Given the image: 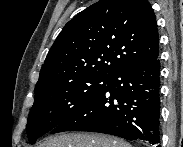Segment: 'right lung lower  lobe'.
Listing matches in <instances>:
<instances>
[{"mask_svg":"<svg viewBox=\"0 0 183 147\" xmlns=\"http://www.w3.org/2000/svg\"><path fill=\"white\" fill-rule=\"evenodd\" d=\"M160 61L128 65L57 125L51 134L89 131L160 143Z\"/></svg>","mask_w":183,"mask_h":147,"instance_id":"obj_1","label":"right lung lower lobe"}]
</instances>
